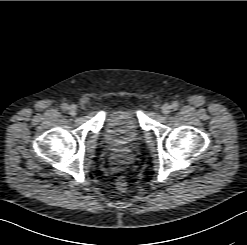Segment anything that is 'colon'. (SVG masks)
Segmentation results:
<instances>
[{"mask_svg": "<svg viewBox=\"0 0 247 245\" xmlns=\"http://www.w3.org/2000/svg\"><path fill=\"white\" fill-rule=\"evenodd\" d=\"M116 187L120 191H125L128 187V184L123 177H119L116 181Z\"/></svg>", "mask_w": 247, "mask_h": 245, "instance_id": "obj_1", "label": "colon"}]
</instances>
